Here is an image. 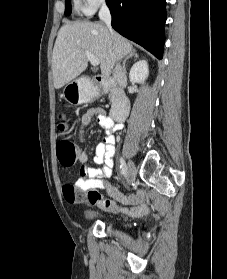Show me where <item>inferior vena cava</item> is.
<instances>
[{
	"label": "inferior vena cava",
	"mask_w": 227,
	"mask_h": 279,
	"mask_svg": "<svg viewBox=\"0 0 227 279\" xmlns=\"http://www.w3.org/2000/svg\"><path fill=\"white\" fill-rule=\"evenodd\" d=\"M99 18L106 24L110 33H112L113 30L111 27V14H110L108 7L105 4H103L100 8ZM113 77L120 87H122V88L126 87V85H127L126 73H124V71L119 63H117L114 67Z\"/></svg>",
	"instance_id": "obj_1"
}]
</instances>
